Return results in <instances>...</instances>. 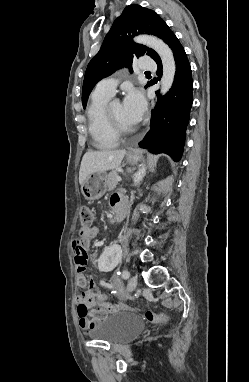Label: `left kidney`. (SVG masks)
<instances>
[{
	"label": "left kidney",
	"instance_id": "5707ae66",
	"mask_svg": "<svg viewBox=\"0 0 249 382\" xmlns=\"http://www.w3.org/2000/svg\"><path fill=\"white\" fill-rule=\"evenodd\" d=\"M105 251L108 254H101L97 260H93V267H99L102 273H114L115 267H121V258L123 256L122 245H106Z\"/></svg>",
	"mask_w": 249,
	"mask_h": 382
}]
</instances>
